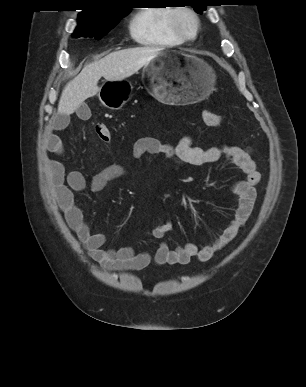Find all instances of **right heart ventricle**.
<instances>
[{
    "label": "right heart ventricle",
    "instance_id": "right-heart-ventricle-1",
    "mask_svg": "<svg viewBox=\"0 0 306 387\" xmlns=\"http://www.w3.org/2000/svg\"><path fill=\"white\" fill-rule=\"evenodd\" d=\"M172 6H150L138 10L129 21L131 38L142 46L152 48H172L185 41L172 29Z\"/></svg>",
    "mask_w": 306,
    "mask_h": 387
}]
</instances>
